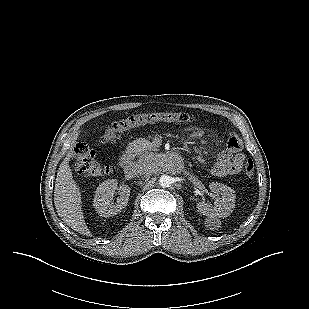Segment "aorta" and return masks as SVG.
Segmentation results:
<instances>
[{
    "label": "aorta",
    "mask_w": 309,
    "mask_h": 309,
    "mask_svg": "<svg viewBox=\"0 0 309 309\" xmlns=\"http://www.w3.org/2000/svg\"><path fill=\"white\" fill-rule=\"evenodd\" d=\"M172 183H173L172 177H170L169 175H161L159 179L160 186L165 188L171 186Z\"/></svg>",
    "instance_id": "aorta-1"
}]
</instances>
